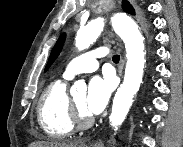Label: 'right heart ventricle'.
<instances>
[{"mask_svg":"<svg viewBox=\"0 0 183 147\" xmlns=\"http://www.w3.org/2000/svg\"><path fill=\"white\" fill-rule=\"evenodd\" d=\"M38 121L51 138L62 139L74 133L75 125L65 80H55L45 88L38 104Z\"/></svg>","mask_w":183,"mask_h":147,"instance_id":"obj_1","label":"right heart ventricle"}]
</instances>
